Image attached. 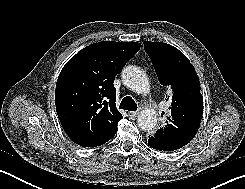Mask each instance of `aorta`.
<instances>
[{"label":"aorta","mask_w":245,"mask_h":189,"mask_svg":"<svg viewBox=\"0 0 245 189\" xmlns=\"http://www.w3.org/2000/svg\"><path fill=\"white\" fill-rule=\"evenodd\" d=\"M123 83L137 94H147L150 92V83L147 75L137 66L130 65L122 71ZM138 126L143 131L152 130L157 124L156 113L153 109L142 110L137 118Z\"/></svg>","instance_id":"aorta-1"}]
</instances>
